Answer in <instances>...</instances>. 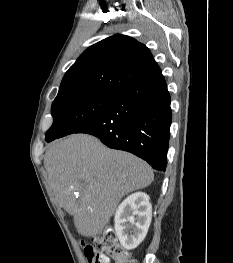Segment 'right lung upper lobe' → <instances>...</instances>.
<instances>
[{
    "instance_id": "1",
    "label": "right lung upper lobe",
    "mask_w": 233,
    "mask_h": 263,
    "mask_svg": "<svg viewBox=\"0 0 233 263\" xmlns=\"http://www.w3.org/2000/svg\"><path fill=\"white\" fill-rule=\"evenodd\" d=\"M159 74L145 45L117 34L84 51L66 72L57 96L81 91L119 93Z\"/></svg>"
}]
</instances>
